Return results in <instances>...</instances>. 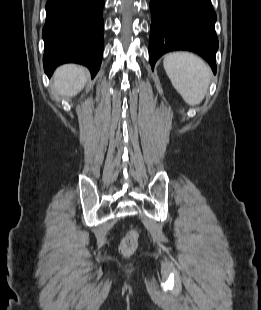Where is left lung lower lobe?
I'll return each mask as SVG.
<instances>
[{"label": "left lung lower lobe", "instance_id": "0a47b994", "mask_svg": "<svg viewBox=\"0 0 261 310\" xmlns=\"http://www.w3.org/2000/svg\"><path fill=\"white\" fill-rule=\"evenodd\" d=\"M150 10L149 59L152 69L163 54L190 50L206 59L216 73L218 39L211 0H151Z\"/></svg>", "mask_w": 261, "mask_h": 310}]
</instances>
